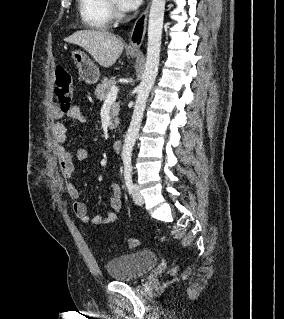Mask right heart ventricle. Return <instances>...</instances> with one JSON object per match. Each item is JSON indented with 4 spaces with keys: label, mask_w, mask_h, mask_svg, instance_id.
Here are the masks:
<instances>
[{
    "label": "right heart ventricle",
    "mask_w": 284,
    "mask_h": 319,
    "mask_svg": "<svg viewBox=\"0 0 284 319\" xmlns=\"http://www.w3.org/2000/svg\"><path fill=\"white\" fill-rule=\"evenodd\" d=\"M83 23L92 29H105L112 22V12L107 0H78Z\"/></svg>",
    "instance_id": "e07e8e85"
}]
</instances>
